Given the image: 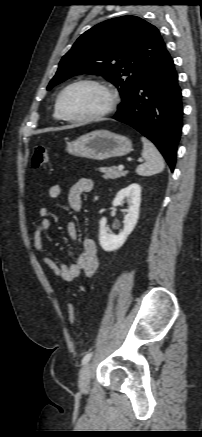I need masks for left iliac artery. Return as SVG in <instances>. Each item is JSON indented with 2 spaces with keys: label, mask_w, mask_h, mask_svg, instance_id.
I'll list each match as a JSON object with an SVG mask.
<instances>
[{
  "label": "left iliac artery",
  "mask_w": 202,
  "mask_h": 437,
  "mask_svg": "<svg viewBox=\"0 0 202 437\" xmlns=\"http://www.w3.org/2000/svg\"><path fill=\"white\" fill-rule=\"evenodd\" d=\"M91 357H92V353L88 352L82 359V365L87 364L89 362V360L91 359Z\"/></svg>",
  "instance_id": "obj_1"
}]
</instances>
